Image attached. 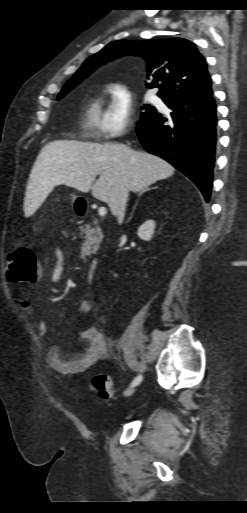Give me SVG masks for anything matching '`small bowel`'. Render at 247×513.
<instances>
[{
    "instance_id": "1",
    "label": "small bowel",
    "mask_w": 247,
    "mask_h": 513,
    "mask_svg": "<svg viewBox=\"0 0 247 513\" xmlns=\"http://www.w3.org/2000/svg\"><path fill=\"white\" fill-rule=\"evenodd\" d=\"M63 259L62 250L59 248L55 249L50 274L51 283H57L62 280ZM22 307L28 314H31L32 307L29 303L23 301ZM92 308L91 302L84 299L78 307V312L81 315H85L90 313ZM37 328L40 337L43 339L50 337V328L46 321H40ZM80 336L82 347L76 353H66L55 346H50L47 349L44 353V361L51 370L61 374H80L86 372L98 362L107 360L112 350L117 351L119 349V343L114 345L108 343L104 333L94 326L82 328Z\"/></svg>"
}]
</instances>
